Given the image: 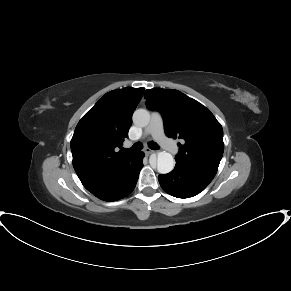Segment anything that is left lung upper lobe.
<instances>
[{
	"mask_svg": "<svg viewBox=\"0 0 291 291\" xmlns=\"http://www.w3.org/2000/svg\"><path fill=\"white\" fill-rule=\"evenodd\" d=\"M144 97L150 110L161 112L166 135L183 140L175 160L217 171L224 143L222 126L214 115L178 90L148 89Z\"/></svg>",
	"mask_w": 291,
	"mask_h": 291,
	"instance_id": "obj_1",
	"label": "left lung upper lobe"
}]
</instances>
